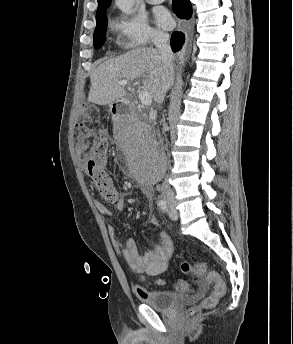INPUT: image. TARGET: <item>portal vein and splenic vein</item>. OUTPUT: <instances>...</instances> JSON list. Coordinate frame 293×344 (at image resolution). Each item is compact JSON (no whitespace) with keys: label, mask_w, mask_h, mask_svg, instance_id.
Returning <instances> with one entry per match:
<instances>
[{"label":"portal vein and splenic vein","mask_w":293,"mask_h":344,"mask_svg":"<svg viewBox=\"0 0 293 344\" xmlns=\"http://www.w3.org/2000/svg\"><path fill=\"white\" fill-rule=\"evenodd\" d=\"M119 85L126 86L129 85L130 83L127 80H121L118 82ZM137 83H134L133 85L135 86ZM139 99L142 105L149 106L152 103V97L149 92L147 91H142L139 94Z\"/></svg>","instance_id":"1"}]
</instances>
